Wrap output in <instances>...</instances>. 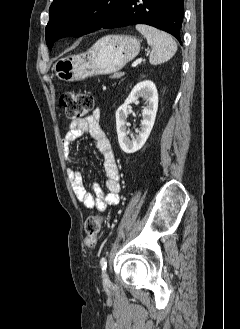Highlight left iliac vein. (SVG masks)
Instances as JSON below:
<instances>
[{
  "label": "left iliac vein",
  "instance_id": "1",
  "mask_svg": "<svg viewBox=\"0 0 240 329\" xmlns=\"http://www.w3.org/2000/svg\"><path fill=\"white\" fill-rule=\"evenodd\" d=\"M103 284L105 286H108L110 284V280H109V277L106 273L103 274Z\"/></svg>",
  "mask_w": 240,
  "mask_h": 329
}]
</instances>
